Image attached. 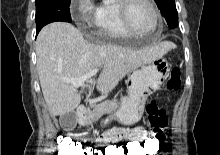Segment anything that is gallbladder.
Segmentation results:
<instances>
[{"mask_svg": "<svg viewBox=\"0 0 220 155\" xmlns=\"http://www.w3.org/2000/svg\"><path fill=\"white\" fill-rule=\"evenodd\" d=\"M68 121L70 122V124L69 126H66V123ZM76 122H77V117L74 112L62 117V123L64 124L66 129H73L76 126Z\"/></svg>", "mask_w": 220, "mask_h": 155, "instance_id": "obj_1", "label": "gallbladder"}]
</instances>
